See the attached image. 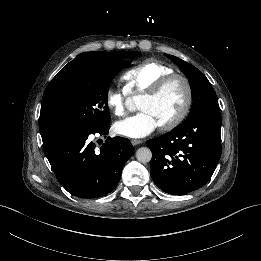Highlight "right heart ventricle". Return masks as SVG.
I'll return each mask as SVG.
<instances>
[{"label": "right heart ventricle", "mask_w": 261, "mask_h": 261, "mask_svg": "<svg viewBox=\"0 0 261 261\" xmlns=\"http://www.w3.org/2000/svg\"><path fill=\"white\" fill-rule=\"evenodd\" d=\"M174 73L173 68L158 59H146L123 74L124 91L127 95H143L165 75Z\"/></svg>", "instance_id": "obj_1"}]
</instances>
